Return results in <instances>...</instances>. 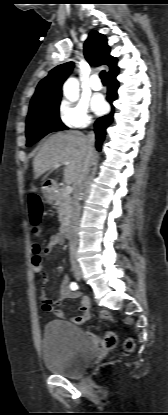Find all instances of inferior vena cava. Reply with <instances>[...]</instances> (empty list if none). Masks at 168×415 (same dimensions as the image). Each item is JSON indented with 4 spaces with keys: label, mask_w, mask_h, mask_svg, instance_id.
I'll return each instance as SVG.
<instances>
[{
    "label": "inferior vena cava",
    "mask_w": 168,
    "mask_h": 415,
    "mask_svg": "<svg viewBox=\"0 0 168 415\" xmlns=\"http://www.w3.org/2000/svg\"><path fill=\"white\" fill-rule=\"evenodd\" d=\"M88 139V156L86 158L83 170L77 180L73 200L71 206V215H70V225H69V249H70V262L72 268H78L77 262V246H78V226L80 220V197L83 190V185L85 183L87 174L89 172V167L91 164V157L94 153V144H95V134L93 131L89 132L87 135Z\"/></svg>",
    "instance_id": "1"
}]
</instances>
